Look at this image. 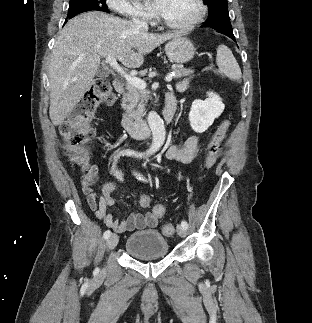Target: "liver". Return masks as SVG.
<instances>
[{
    "instance_id": "1",
    "label": "liver",
    "mask_w": 312,
    "mask_h": 323,
    "mask_svg": "<svg viewBox=\"0 0 312 323\" xmlns=\"http://www.w3.org/2000/svg\"><path fill=\"white\" fill-rule=\"evenodd\" d=\"M171 38H179V34H149L104 12H87L69 20L55 40L49 64L53 126L62 124L83 98L101 58L119 60L126 68H140L146 54Z\"/></svg>"
}]
</instances>
